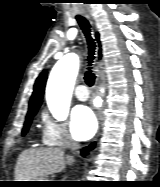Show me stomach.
Segmentation results:
<instances>
[{
	"mask_svg": "<svg viewBox=\"0 0 160 187\" xmlns=\"http://www.w3.org/2000/svg\"><path fill=\"white\" fill-rule=\"evenodd\" d=\"M31 181H50V180H47L46 178H39V179H33ZM26 186H30V187L49 186V182H30L26 184Z\"/></svg>",
	"mask_w": 160,
	"mask_h": 187,
	"instance_id": "stomach-1",
	"label": "stomach"
}]
</instances>
